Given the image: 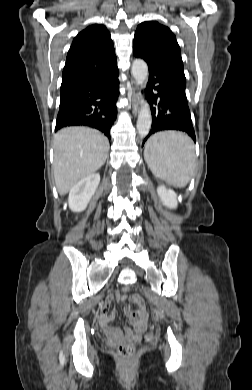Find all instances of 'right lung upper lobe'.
Masks as SVG:
<instances>
[{"instance_id":"1","label":"right lung upper lobe","mask_w":252,"mask_h":390,"mask_svg":"<svg viewBox=\"0 0 252 390\" xmlns=\"http://www.w3.org/2000/svg\"><path fill=\"white\" fill-rule=\"evenodd\" d=\"M117 66L110 33L94 24L81 31L68 51L62 73L60 96L106 76Z\"/></svg>"}]
</instances>
